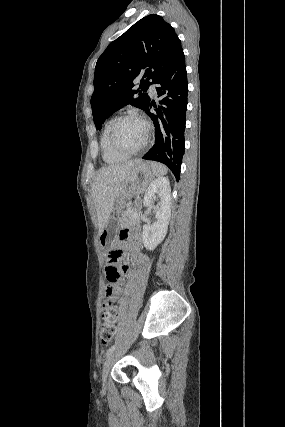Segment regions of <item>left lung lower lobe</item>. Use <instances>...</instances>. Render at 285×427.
<instances>
[{
  "mask_svg": "<svg viewBox=\"0 0 285 427\" xmlns=\"http://www.w3.org/2000/svg\"><path fill=\"white\" fill-rule=\"evenodd\" d=\"M157 93L161 97L156 107L157 115L150 112L155 106L150 102L146 113L155 126V144L142 157L167 165L177 181L185 148L184 130L186 123L188 82L183 50L177 55L168 71L158 80Z\"/></svg>",
  "mask_w": 285,
  "mask_h": 427,
  "instance_id": "obj_1",
  "label": "left lung lower lobe"
}]
</instances>
